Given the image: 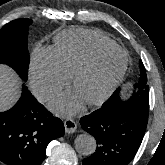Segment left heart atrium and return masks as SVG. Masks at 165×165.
Returning <instances> with one entry per match:
<instances>
[{
    "label": "left heart atrium",
    "mask_w": 165,
    "mask_h": 165,
    "mask_svg": "<svg viewBox=\"0 0 165 165\" xmlns=\"http://www.w3.org/2000/svg\"><path fill=\"white\" fill-rule=\"evenodd\" d=\"M83 99L75 91H67L53 99L51 108L61 115H73L81 109Z\"/></svg>",
    "instance_id": "1"
}]
</instances>
